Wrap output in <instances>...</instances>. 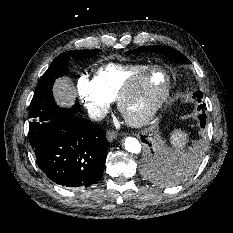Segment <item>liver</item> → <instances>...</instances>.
Wrapping results in <instances>:
<instances>
[{
    "label": "liver",
    "instance_id": "1",
    "mask_svg": "<svg viewBox=\"0 0 233 233\" xmlns=\"http://www.w3.org/2000/svg\"><path fill=\"white\" fill-rule=\"evenodd\" d=\"M54 98L59 106L70 107L74 103L75 89L69 77L59 78L53 86Z\"/></svg>",
    "mask_w": 233,
    "mask_h": 233
}]
</instances>
